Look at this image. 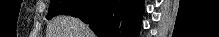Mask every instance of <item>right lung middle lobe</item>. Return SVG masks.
<instances>
[{
    "instance_id": "right-lung-middle-lobe-1",
    "label": "right lung middle lobe",
    "mask_w": 219,
    "mask_h": 37,
    "mask_svg": "<svg viewBox=\"0 0 219 37\" xmlns=\"http://www.w3.org/2000/svg\"><path fill=\"white\" fill-rule=\"evenodd\" d=\"M82 0H50V6L46 18L50 20L54 16L64 14L68 9L77 5Z\"/></svg>"
}]
</instances>
